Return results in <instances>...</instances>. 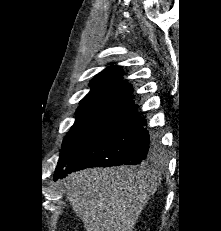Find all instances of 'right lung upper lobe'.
<instances>
[{"mask_svg": "<svg viewBox=\"0 0 221 231\" xmlns=\"http://www.w3.org/2000/svg\"><path fill=\"white\" fill-rule=\"evenodd\" d=\"M122 76L123 72L118 66L107 67L91 81L92 89L81 102L96 98H116L134 103L133 88Z\"/></svg>", "mask_w": 221, "mask_h": 231, "instance_id": "right-lung-upper-lobe-1", "label": "right lung upper lobe"}]
</instances>
